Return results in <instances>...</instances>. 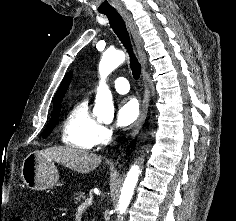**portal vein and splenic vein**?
<instances>
[{
    "label": "portal vein and splenic vein",
    "mask_w": 236,
    "mask_h": 221,
    "mask_svg": "<svg viewBox=\"0 0 236 221\" xmlns=\"http://www.w3.org/2000/svg\"><path fill=\"white\" fill-rule=\"evenodd\" d=\"M92 204H93V198L89 197V198H86L80 206L81 207H86V206H90Z\"/></svg>",
    "instance_id": "obj_1"
}]
</instances>
